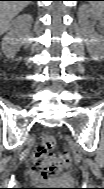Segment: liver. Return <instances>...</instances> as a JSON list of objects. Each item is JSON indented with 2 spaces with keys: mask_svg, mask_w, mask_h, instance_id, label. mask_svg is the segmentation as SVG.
<instances>
[{
  "mask_svg": "<svg viewBox=\"0 0 104 189\" xmlns=\"http://www.w3.org/2000/svg\"><path fill=\"white\" fill-rule=\"evenodd\" d=\"M30 2L29 1H1L0 2V30L4 33L10 21L17 16Z\"/></svg>",
  "mask_w": 104,
  "mask_h": 189,
  "instance_id": "liver-1",
  "label": "liver"
}]
</instances>
